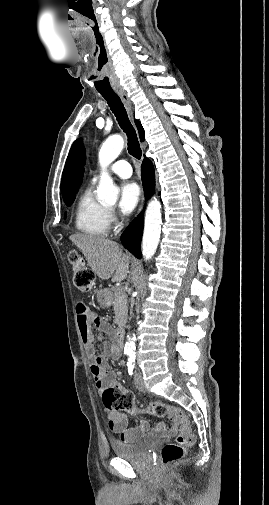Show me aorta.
<instances>
[{
  "instance_id": "aorta-1",
  "label": "aorta",
  "mask_w": 269,
  "mask_h": 505,
  "mask_svg": "<svg viewBox=\"0 0 269 505\" xmlns=\"http://www.w3.org/2000/svg\"><path fill=\"white\" fill-rule=\"evenodd\" d=\"M124 147V139L121 135H113L106 139L99 151V163L102 167L98 199L107 204H114L118 199V188L113 184L111 177L106 172V167L113 162ZM161 203L153 198L146 209L144 233L142 239V254L145 260H150L156 252L161 232ZM125 350H135V337L128 336Z\"/></svg>"
}]
</instances>
